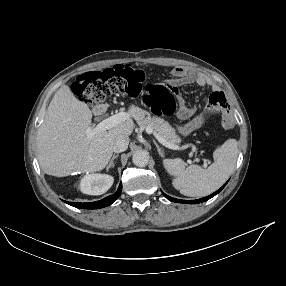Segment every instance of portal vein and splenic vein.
Returning a JSON list of instances; mask_svg holds the SVG:
<instances>
[{
    "label": "portal vein and splenic vein",
    "mask_w": 286,
    "mask_h": 286,
    "mask_svg": "<svg viewBox=\"0 0 286 286\" xmlns=\"http://www.w3.org/2000/svg\"><path fill=\"white\" fill-rule=\"evenodd\" d=\"M129 118H130L129 114H127L125 112H120L118 114L112 115V116L102 120L94 128L87 129L86 134L88 137H92L96 132L111 129V128L117 126L118 124L125 122ZM146 132L148 134H152L162 145L166 146L167 148H170L173 150L184 149L183 147H179L176 144H172V143L166 141L165 138H163L159 133H157L155 130H153L150 127L146 128ZM204 167H207V161L206 160H204Z\"/></svg>",
    "instance_id": "18ae733b"
}]
</instances>
